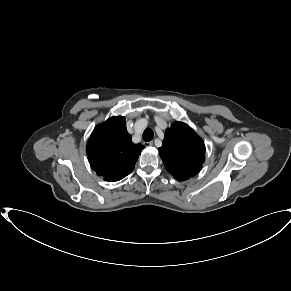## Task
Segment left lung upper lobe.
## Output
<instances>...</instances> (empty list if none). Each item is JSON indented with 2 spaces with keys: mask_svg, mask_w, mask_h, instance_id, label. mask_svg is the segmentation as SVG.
<instances>
[{
  "mask_svg": "<svg viewBox=\"0 0 291 291\" xmlns=\"http://www.w3.org/2000/svg\"><path fill=\"white\" fill-rule=\"evenodd\" d=\"M158 150L167 171L179 181L199 173L205 160L203 140L183 122H175L166 130Z\"/></svg>",
  "mask_w": 291,
  "mask_h": 291,
  "instance_id": "5c2ea615",
  "label": "left lung upper lobe"
}]
</instances>
